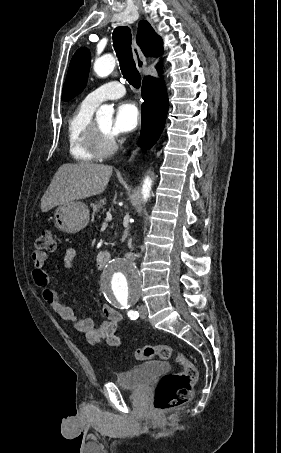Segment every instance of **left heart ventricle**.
Returning <instances> with one entry per match:
<instances>
[{
    "mask_svg": "<svg viewBox=\"0 0 281 453\" xmlns=\"http://www.w3.org/2000/svg\"><path fill=\"white\" fill-rule=\"evenodd\" d=\"M98 125L100 126L101 130L106 134V135H111L110 133V128L112 125V118H105L97 121Z\"/></svg>",
    "mask_w": 281,
    "mask_h": 453,
    "instance_id": "obj_1",
    "label": "left heart ventricle"
}]
</instances>
